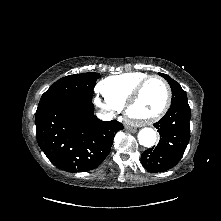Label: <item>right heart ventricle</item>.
Wrapping results in <instances>:
<instances>
[{
	"mask_svg": "<svg viewBox=\"0 0 221 221\" xmlns=\"http://www.w3.org/2000/svg\"><path fill=\"white\" fill-rule=\"evenodd\" d=\"M147 76L142 72L109 76L98 83L97 90L108 102L121 109L133 89Z\"/></svg>",
	"mask_w": 221,
	"mask_h": 221,
	"instance_id": "obj_1",
	"label": "right heart ventricle"
}]
</instances>
